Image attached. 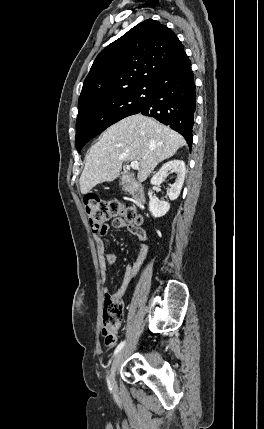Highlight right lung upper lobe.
<instances>
[{
	"instance_id": "obj_1",
	"label": "right lung upper lobe",
	"mask_w": 264,
	"mask_h": 429,
	"mask_svg": "<svg viewBox=\"0 0 264 429\" xmlns=\"http://www.w3.org/2000/svg\"><path fill=\"white\" fill-rule=\"evenodd\" d=\"M184 53L172 30L153 19L145 20L98 54L78 106L133 85L154 84Z\"/></svg>"
}]
</instances>
